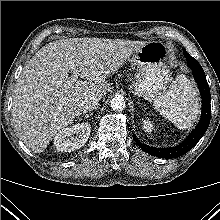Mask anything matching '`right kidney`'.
Listing matches in <instances>:
<instances>
[{"label": "right kidney", "mask_w": 220, "mask_h": 220, "mask_svg": "<svg viewBox=\"0 0 220 220\" xmlns=\"http://www.w3.org/2000/svg\"><path fill=\"white\" fill-rule=\"evenodd\" d=\"M91 125L78 123L60 130L54 137V146L58 152H71L80 149L87 142Z\"/></svg>", "instance_id": "right-kidney-1"}]
</instances>
